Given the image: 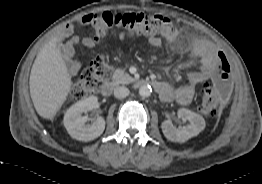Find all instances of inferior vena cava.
Returning a JSON list of instances; mask_svg holds the SVG:
<instances>
[{"label": "inferior vena cava", "mask_w": 262, "mask_h": 184, "mask_svg": "<svg viewBox=\"0 0 262 184\" xmlns=\"http://www.w3.org/2000/svg\"><path fill=\"white\" fill-rule=\"evenodd\" d=\"M129 93V89L124 86H120L114 89V96L118 99L127 97Z\"/></svg>", "instance_id": "602c4592"}]
</instances>
